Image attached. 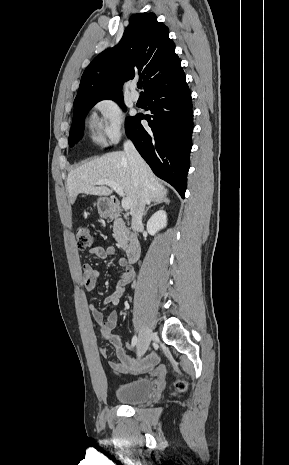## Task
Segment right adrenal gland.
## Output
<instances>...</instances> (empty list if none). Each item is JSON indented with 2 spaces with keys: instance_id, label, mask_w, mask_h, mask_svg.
Wrapping results in <instances>:
<instances>
[{
  "instance_id": "2a0ac1e0",
  "label": "right adrenal gland",
  "mask_w": 289,
  "mask_h": 465,
  "mask_svg": "<svg viewBox=\"0 0 289 465\" xmlns=\"http://www.w3.org/2000/svg\"><path fill=\"white\" fill-rule=\"evenodd\" d=\"M161 203L169 204V203H170V200H169L168 198H164V199H162V200H155V201L153 202V204H151V205L146 209L144 215H145V216L147 215V213H148V211H149V209H150L151 207L156 206V205L161 204Z\"/></svg>"
}]
</instances>
